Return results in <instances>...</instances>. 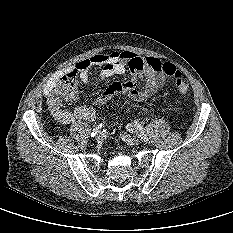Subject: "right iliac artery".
<instances>
[{"label": "right iliac artery", "instance_id": "right-iliac-artery-1", "mask_svg": "<svg viewBox=\"0 0 233 233\" xmlns=\"http://www.w3.org/2000/svg\"><path fill=\"white\" fill-rule=\"evenodd\" d=\"M103 127V124L102 123H100V124H98L94 129H93V131H92V133H91V137H95L98 133H99V131H100V129Z\"/></svg>", "mask_w": 233, "mask_h": 233}]
</instances>
